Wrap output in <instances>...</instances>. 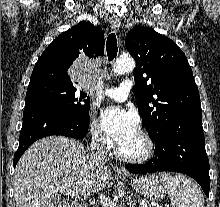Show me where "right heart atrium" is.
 Masks as SVG:
<instances>
[{"instance_id":"right-heart-atrium-1","label":"right heart atrium","mask_w":220,"mask_h":207,"mask_svg":"<svg viewBox=\"0 0 220 207\" xmlns=\"http://www.w3.org/2000/svg\"><path fill=\"white\" fill-rule=\"evenodd\" d=\"M90 136L95 145L103 149H109L111 147V141L101 129L99 123L93 120L89 128Z\"/></svg>"}]
</instances>
